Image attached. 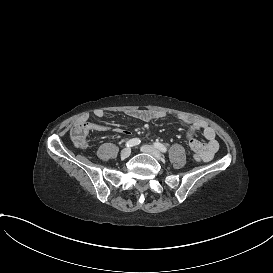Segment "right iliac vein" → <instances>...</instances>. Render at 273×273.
<instances>
[{
  "mask_svg": "<svg viewBox=\"0 0 273 273\" xmlns=\"http://www.w3.org/2000/svg\"><path fill=\"white\" fill-rule=\"evenodd\" d=\"M131 154V149L130 148H125L121 151V158H127Z\"/></svg>",
  "mask_w": 273,
  "mask_h": 273,
  "instance_id": "63e3f726",
  "label": "right iliac vein"
}]
</instances>
